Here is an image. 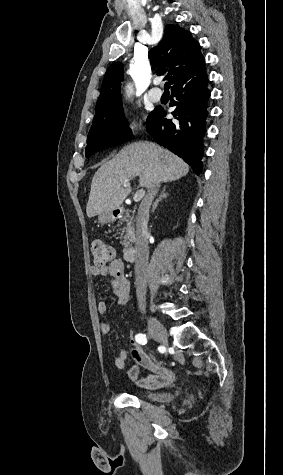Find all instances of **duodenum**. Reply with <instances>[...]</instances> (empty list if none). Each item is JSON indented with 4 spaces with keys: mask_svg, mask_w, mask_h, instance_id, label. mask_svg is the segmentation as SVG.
Masks as SVG:
<instances>
[{
    "mask_svg": "<svg viewBox=\"0 0 283 475\" xmlns=\"http://www.w3.org/2000/svg\"><path fill=\"white\" fill-rule=\"evenodd\" d=\"M123 215L122 211H116L114 213L115 218H120ZM136 255V249L134 246H129L124 250L123 258L126 262H133Z\"/></svg>",
    "mask_w": 283,
    "mask_h": 475,
    "instance_id": "410a0bca",
    "label": "duodenum"
}]
</instances>
